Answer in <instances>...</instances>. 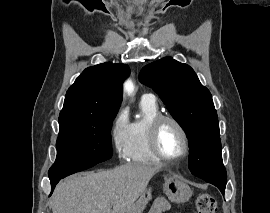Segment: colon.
Masks as SVG:
<instances>
[{
    "instance_id": "5ec220e1",
    "label": "colon",
    "mask_w": 270,
    "mask_h": 213,
    "mask_svg": "<svg viewBox=\"0 0 270 213\" xmlns=\"http://www.w3.org/2000/svg\"><path fill=\"white\" fill-rule=\"evenodd\" d=\"M197 213H216V200L209 194H199L195 200Z\"/></svg>"
}]
</instances>
